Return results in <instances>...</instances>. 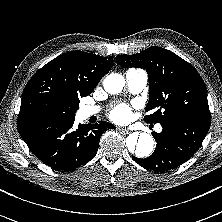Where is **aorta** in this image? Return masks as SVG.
I'll list each match as a JSON object with an SVG mask.
<instances>
[{"mask_svg":"<svg viewBox=\"0 0 222 222\" xmlns=\"http://www.w3.org/2000/svg\"><path fill=\"white\" fill-rule=\"evenodd\" d=\"M125 79L121 74L112 73L108 75L104 81L103 86L106 92L110 94H118L123 90ZM126 146L128 151L138 157L145 158L149 156L154 148L153 137L145 132H134L126 139Z\"/></svg>","mask_w":222,"mask_h":222,"instance_id":"762f6f07","label":"aorta"}]
</instances>
